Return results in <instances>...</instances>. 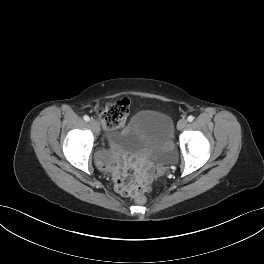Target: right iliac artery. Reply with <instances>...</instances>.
Listing matches in <instances>:
<instances>
[{"instance_id": "1", "label": "right iliac artery", "mask_w": 264, "mask_h": 264, "mask_svg": "<svg viewBox=\"0 0 264 264\" xmlns=\"http://www.w3.org/2000/svg\"><path fill=\"white\" fill-rule=\"evenodd\" d=\"M83 118H84V120L87 121V122L90 120L89 116H87V115H85Z\"/></svg>"}]
</instances>
